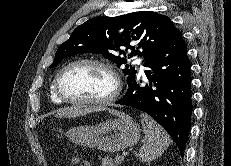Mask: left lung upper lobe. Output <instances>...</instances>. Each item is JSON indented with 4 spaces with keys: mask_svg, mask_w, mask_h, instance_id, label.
Masks as SVG:
<instances>
[{
    "mask_svg": "<svg viewBox=\"0 0 231 166\" xmlns=\"http://www.w3.org/2000/svg\"><path fill=\"white\" fill-rule=\"evenodd\" d=\"M176 29L169 17L152 11L93 18L78 26L59 46L50 67H55L64 58L82 53L102 54L118 67L126 64L127 57L135 55L143 56L145 62L171 38ZM123 47L126 51L132 50L131 53H126ZM125 67L123 72L128 76L129 84L138 71L131 65Z\"/></svg>",
    "mask_w": 231,
    "mask_h": 166,
    "instance_id": "obj_1",
    "label": "left lung upper lobe"
}]
</instances>
